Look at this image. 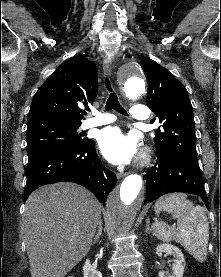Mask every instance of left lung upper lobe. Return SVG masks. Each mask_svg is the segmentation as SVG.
I'll return each mask as SVG.
<instances>
[{
  "mask_svg": "<svg viewBox=\"0 0 221 277\" xmlns=\"http://www.w3.org/2000/svg\"><path fill=\"white\" fill-rule=\"evenodd\" d=\"M140 65L148 81L146 104L162 124L154 138L157 156H177L199 167L193 108L186 88L155 61L145 59Z\"/></svg>",
  "mask_w": 221,
  "mask_h": 277,
  "instance_id": "obj_1",
  "label": "left lung upper lobe"
}]
</instances>
